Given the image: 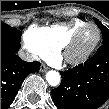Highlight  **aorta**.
I'll use <instances>...</instances> for the list:
<instances>
[{
  "label": "aorta",
  "instance_id": "aorta-1",
  "mask_svg": "<svg viewBox=\"0 0 109 109\" xmlns=\"http://www.w3.org/2000/svg\"><path fill=\"white\" fill-rule=\"evenodd\" d=\"M46 80L51 86H58L61 81L60 74L55 70H50L46 74Z\"/></svg>",
  "mask_w": 109,
  "mask_h": 109
}]
</instances>
